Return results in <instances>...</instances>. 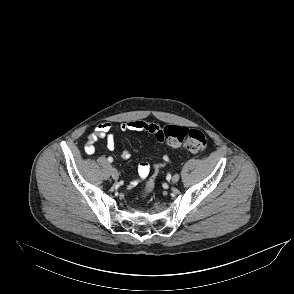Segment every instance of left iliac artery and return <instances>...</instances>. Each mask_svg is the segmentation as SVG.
Listing matches in <instances>:
<instances>
[{"instance_id":"44dca946","label":"left iliac artery","mask_w":294,"mask_h":294,"mask_svg":"<svg viewBox=\"0 0 294 294\" xmlns=\"http://www.w3.org/2000/svg\"><path fill=\"white\" fill-rule=\"evenodd\" d=\"M172 179V172H167V178H166V181L167 182H170Z\"/></svg>"}]
</instances>
